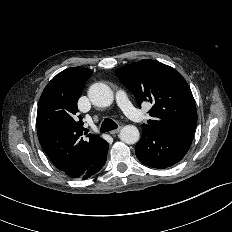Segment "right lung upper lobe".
Returning a JSON list of instances; mask_svg holds the SVG:
<instances>
[{
    "mask_svg": "<svg viewBox=\"0 0 232 232\" xmlns=\"http://www.w3.org/2000/svg\"><path fill=\"white\" fill-rule=\"evenodd\" d=\"M92 73L79 67L60 72L44 88L38 104L39 142L53 164L72 178L81 177L108 146L97 135L83 137L78 115L77 101Z\"/></svg>",
    "mask_w": 232,
    "mask_h": 232,
    "instance_id": "right-lung-upper-lobe-1",
    "label": "right lung upper lobe"
}]
</instances>
